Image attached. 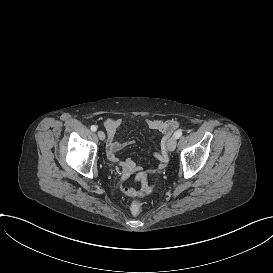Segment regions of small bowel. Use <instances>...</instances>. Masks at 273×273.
Masks as SVG:
<instances>
[{
	"label": "small bowel",
	"mask_w": 273,
	"mask_h": 273,
	"mask_svg": "<svg viewBox=\"0 0 273 273\" xmlns=\"http://www.w3.org/2000/svg\"><path fill=\"white\" fill-rule=\"evenodd\" d=\"M122 124V119L118 117L108 118L104 122V126L107 133V157L111 162H118V154L126 147V143H121L117 139V134ZM176 122L173 120H161V119H150L147 121V126L149 129L157 132L159 137L172 132L176 128ZM166 144L162 143L161 148H159L158 153L155 154L156 158L158 159V168L160 171H163L167 168V150ZM123 172H122V179L128 180L130 177V170L131 173H138L140 175V188L143 191L149 190V185L147 184V178L149 177L148 171H143L141 173V168L130 158H126L123 161ZM161 182V177H156V182L153 186L150 187L151 191H154L158 188ZM120 192L124 194L125 197L131 198L135 196L134 190H128L127 187L124 186L123 183L119 184Z\"/></svg>",
	"instance_id": "obj_1"
}]
</instances>
